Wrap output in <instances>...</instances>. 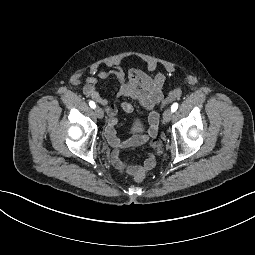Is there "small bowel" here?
Returning <instances> with one entry per match:
<instances>
[{
    "label": "small bowel",
    "instance_id": "c3829d8e",
    "mask_svg": "<svg viewBox=\"0 0 255 255\" xmlns=\"http://www.w3.org/2000/svg\"><path fill=\"white\" fill-rule=\"evenodd\" d=\"M156 68V63H150L148 65L150 73H146L138 70L125 71L120 66H114L108 70L93 67L90 70L91 76L85 79L84 94L102 105L108 115L105 136L113 147L111 163L121 174L134 175L140 170L149 171L153 169L158 156L162 153V142L157 138L159 114L156 111V106L163 98L165 75L162 72L153 73ZM110 77H115L119 82L118 97L135 100L142 109L148 112L149 127L145 133L133 134L124 141L117 137L115 127L118 122L119 110L130 113L133 106L127 101L116 106L110 104L106 98L100 95L97 90V78L105 80ZM143 145H149L153 151L148 153L142 165L125 162L121 159L122 150Z\"/></svg>",
    "mask_w": 255,
    "mask_h": 255
}]
</instances>
